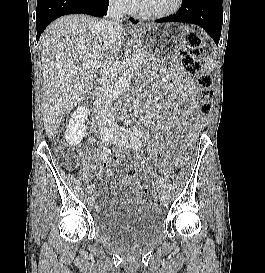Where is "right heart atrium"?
Returning a JSON list of instances; mask_svg holds the SVG:
<instances>
[{"instance_id": "obj_1", "label": "right heart atrium", "mask_w": 265, "mask_h": 273, "mask_svg": "<svg viewBox=\"0 0 265 273\" xmlns=\"http://www.w3.org/2000/svg\"><path fill=\"white\" fill-rule=\"evenodd\" d=\"M136 0H110L113 7L121 11H129L134 8Z\"/></svg>"}]
</instances>
